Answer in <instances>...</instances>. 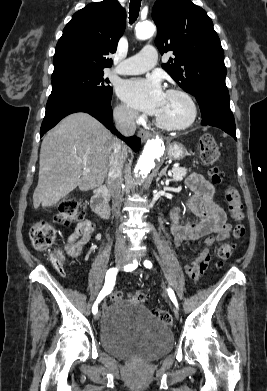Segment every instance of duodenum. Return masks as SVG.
<instances>
[{
    "label": "duodenum",
    "mask_w": 267,
    "mask_h": 391,
    "mask_svg": "<svg viewBox=\"0 0 267 391\" xmlns=\"http://www.w3.org/2000/svg\"><path fill=\"white\" fill-rule=\"evenodd\" d=\"M108 191L105 187L97 188L91 198V207L93 211L101 218L107 219L110 215V208L108 205Z\"/></svg>",
    "instance_id": "410a0bca"
}]
</instances>
